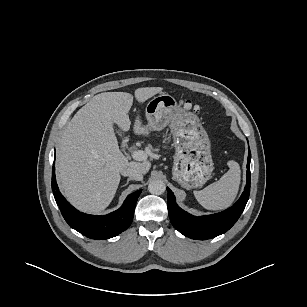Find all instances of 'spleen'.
Wrapping results in <instances>:
<instances>
[{
  "label": "spleen",
  "instance_id": "spleen-1",
  "mask_svg": "<svg viewBox=\"0 0 307 307\" xmlns=\"http://www.w3.org/2000/svg\"><path fill=\"white\" fill-rule=\"evenodd\" d=\"M229 170L217 182L200 191H194L197 201L207 210H223L232 205L240 185V166L230 160Z\"/></svg>",
  "mask_w": 307,
  "mask_h": 307
}]
</instances>
